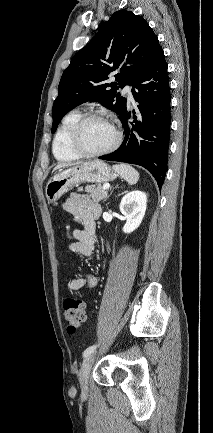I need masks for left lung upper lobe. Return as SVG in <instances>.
<instances>
[{"instance_id": "left-lung-upper-lobe-1", "label": "left lung upper lobe", "mask_w": 213, "mask_h": 433, "mask_svg": "<svg viewBox=\"0 0 213 433\" xmlns=\"http://www.w3.org/2000/svg\"><path fill=\"white\" fill-rule=\"evenodd\" d=\"M159 47L144 18L127 10L115 12L63 72L52 108L51 132L67 112L87 101L100 102L121 117L127 101L116 90L132 85ZM113 71L116 82L106 83Z\"/></svg>"}]
</instances>
